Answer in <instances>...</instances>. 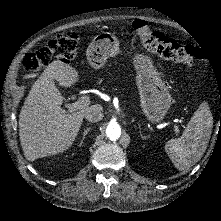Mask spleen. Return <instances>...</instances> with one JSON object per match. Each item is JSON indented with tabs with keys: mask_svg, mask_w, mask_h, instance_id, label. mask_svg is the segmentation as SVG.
Instances as JSON below:
<instances>
[{
	"mask_svg": "<svg viewBox=\"0 0 221 221\" xmlns=\"http://www.w3.org/2000/svg\"><path fill=\"white\" fill-rule=\"evenodd\" d=\"M213 128V117L208 103L203 102L194 112L183 134L170 139L165 151L179 171H189L207 149Z\"/></svg>",
	"mask_w": 221,
	"mask_h": 221,
	"instance_id": "3e777b00",
	"label": "spleen"
}]
</instances>
